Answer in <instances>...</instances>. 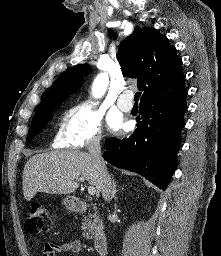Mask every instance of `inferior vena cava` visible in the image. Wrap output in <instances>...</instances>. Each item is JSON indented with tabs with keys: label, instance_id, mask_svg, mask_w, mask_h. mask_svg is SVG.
I'll list each match as a JSON object with an SVG mask.
<instances>
[{
	"label": "inferior vena cava",
	"instance_id": "inferior-vena-cava-1",
	"mask_svg": "<svg viewBox=\"0 0 221 256\" xmlns=\"http://www.w3.org/2000/svg\"><path fill=\"white\" fill-rule=\"evenodd\" d=\"M101 137H94L89 145V154L95 160L98 169L100 171V186L102 195L105 201H110L111 194V178L106 169L105 163L101 156V146H100Z\"/></svg>",
	"mask_w": 221,
	"mask_h": 256
}]
</instances>
